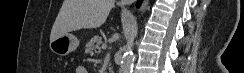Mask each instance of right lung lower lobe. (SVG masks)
<instances>
[{
  "instance_id": "obj_1",
  "label": "right lung lower lobe",
  "mask_w": 244,
  "mask_h": 73,
  "mask_svg": "<svg viewBox=\"0 0 244 73\" xmlns=\"http://www.w3.org/2000/svg\"><path fill=\"white\" fill-rule=\"evenodd\" d=\"M142 0H138L137 2V6H139L141 4Z\"/></svg>"
}]
</instances>
